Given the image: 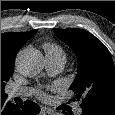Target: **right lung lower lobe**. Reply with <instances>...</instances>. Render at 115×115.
I'll return each mask as SVG.
<instances>
[{
	"instance_id": "right-lung-lower-lobe-1",
	"label": "right lung lower lobe",
	"mask_w": 115,
	"mask_h": 115,
	"mask_svg": "<svg viewBox=\"0 0 115 115\" xmlns=\"http://www.w3.org/2000/svg\"><path fill=\"white\" fill-rule=\"evenodd\" d=\"M39 112L40 107L32 101L19 106L7 102L6 99L1 101V115H36Z\"/></svg>"
}]
</instances>
